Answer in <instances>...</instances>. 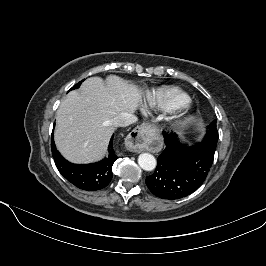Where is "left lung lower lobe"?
Wrapping results in <instances>:
<instances>
[{
    "label": "left lung lower lobe",
    "mask_w": 266,
    "mask_h": 266,
    "mask_svg": "<svg viewBox=\"0 0 266 266\" xmlns=\"http://www.w3.org/2000/svg\"><path fill=\"white\" fill-rule=\"evenodd\" d=\"M163 135L166 148L158 157L155 172L146 177V185L157 197L180 199L202 185L212 166L215 150L204 143L187 147L175 134L163 132Z\"/></svg>",
    "instance_id": "1"
}]
</instances>
